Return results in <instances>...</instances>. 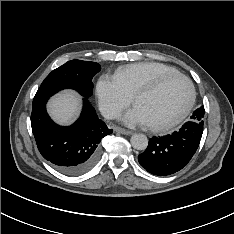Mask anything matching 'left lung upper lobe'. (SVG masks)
I'll use <instances>...</instances> for the list:
<instances>
[{"label":"left lung upper lobe","mask_w":234,"mask_h":234,"mask_svg":"<svg viewBox=\"0 0 234 234\" xmlns=\"http://www.w3.org/2000/svg\"><path fill=\"white\" fill-rule=\"evenodd\" d=\"M204 119V106H201L200 108L196 109L192 116L190 117V121L198 122L203 124Z\"/></svg>","instance_id":"left-lung-upper-lobe-1"}]
</instances>
